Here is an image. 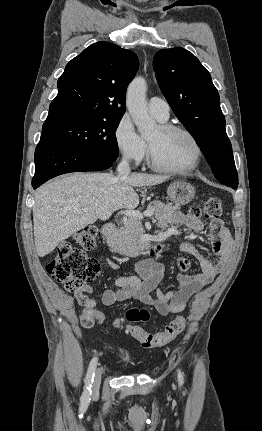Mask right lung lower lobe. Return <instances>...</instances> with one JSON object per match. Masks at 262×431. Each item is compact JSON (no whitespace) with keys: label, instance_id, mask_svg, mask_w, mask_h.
Returning <instances> with one entry per match:
<instances>
[{"label":"right lung lower lobe","instance_id":"98d812e1","mask_svg":"<svg viewBox=\"0 0 262 431\" xmlns=\"http://www.w3.org/2000/svg\"><path fill=\"white\" fill-rule=\"evenodd\" d=\"M114 161L82 148L39 142L35 150L32 186L36 189L49 179L64 173L105 170Z\"/></svg>","mask_w":262,"mask_h":431}]
</instances>
